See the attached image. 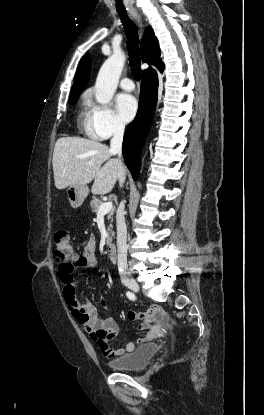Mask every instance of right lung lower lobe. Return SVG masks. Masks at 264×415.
Listing matches in <instances>:
<instances>
[{
    "label": "right lung lower lobe",
    "instance_id": "obj_1",
    "mask_svg": "<svg viewBox=\"0 0 264 415\" xmlns=\"http://www.w3.org/2000/svg\"><path fill=\"white\" fill-rule=\"evenodd\" d=\"M157 88V74L143 75L138 112L124 134L122 152L125 164L134 180H137L139 175L141 150L150 129L157 98Z\"/></svg>",
    "mask_w": 264,
    "mask_h": 415
}]
</instances>
